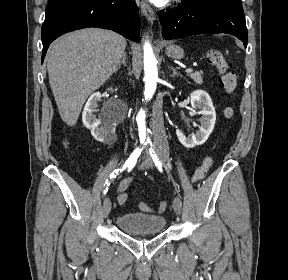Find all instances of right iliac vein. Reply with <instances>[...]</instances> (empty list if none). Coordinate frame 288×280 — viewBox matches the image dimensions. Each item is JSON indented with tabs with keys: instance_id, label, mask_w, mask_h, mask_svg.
<instances>
[{
	"instance_id": "63e3f726",
	"label": "right iliac vein",
	"mask_w": 288,
	"mask_h": 280,
	"mask_svg": "<svg viewBox=\"0 0 288 280\" xmlns=\"http://www.w3.org/2000/svg\"><path fill=\"white\" fill-rule=\"evenodd\" d=\"M111 207V200L109 197H106L103 202V214L105 218L108 217V215L110 214Z\"/></svg>"
}]
</instances>
